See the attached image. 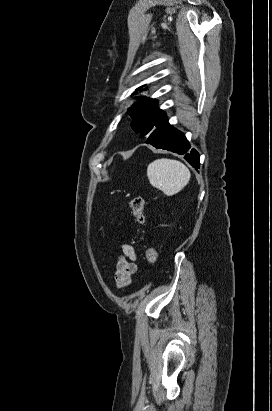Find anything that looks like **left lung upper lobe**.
Wrapping results in <instances>:
<instances>
[{"label":"left lung upper lobe","instance_id":"5c2ea615","mask_svg":"<svg viewBox=\"0 0 272 411\" xmlns=\"http://www.w3.org/2000/svg\"><path fill=\"white\" fill-rule=\"evenodd\" d=\"M143 86L136 89L141 90ZM128 114L132 118L131 126L135 132L140 133V137L149 136L168 122L165 112L157 109L155 101L151 98L143 97L128 109Z\"/></svg>","mask_w":272,"mask_h":411}]
</instances>
